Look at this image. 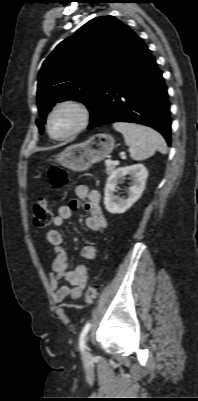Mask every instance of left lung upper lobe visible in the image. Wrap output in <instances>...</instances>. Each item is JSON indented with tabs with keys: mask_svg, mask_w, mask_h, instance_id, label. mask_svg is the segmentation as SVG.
Listing matches in <instances>:
<instances>
[{
	"mask_svg": "<svg viewBox=\"0 0 198 401\" xmlns=\"http://www.w3.org/2000/svg\"><path fill=\"white\" fill-rule=\"evenodd\" d=\"M137 35L113 16L95 18L62 41L38 75L42 122L57 102L78 100L91 111L106 79L133 46ZM40 132L43 126L37 121Z\"/></svg>",
	"mask_w": 198,
	"mask_h": 401,
	"instance_id": "5c2ea615",
	"label": "left lung upper lobe"
}]
</instances>
